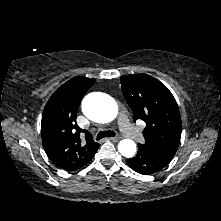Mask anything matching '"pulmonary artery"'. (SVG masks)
I'll use <instances>...</instances> for the list:
<instances>
[{"label":"pulmonary artery","instance_id":"1","mask_svg":"<svg viewBox=\"0 0 221 221\" xmlns=\"http://www.w3.org/2000/svg\"><path fill=\"white\" fill-rule=\"evenodd\" d=\"M119 128L124 135L135 141H141L143 139L142 134L130 125L126 115L123 113L119 116Z\"/></svg>","mask_w":221,"mask_h":221}]
</instances>
